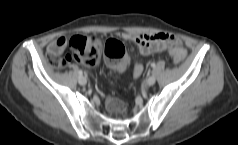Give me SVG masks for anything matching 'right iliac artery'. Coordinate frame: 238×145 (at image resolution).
<instances>
[{
  "label": "right iliac artery",
  "instance_id": "obj_1",
  "mask_svg": "<svg viewBox=\"0 0 238 145\" xmlns=\"http://www.w3.org/2000/svg\"><path fill=\"white\" fill-rule=\"evenodd\" d=\"M78 74H79L80 76H82V75H83V71H82V70H79V71H78Z\"/></svg>",
  "mask_w": 238,
  "mask_h": 145
}]
</instances>
